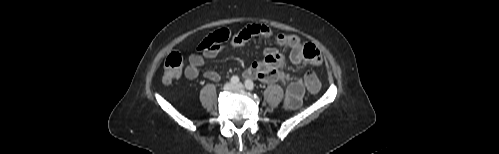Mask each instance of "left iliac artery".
Returning <instances> with one entry per match:
<instances>
[{
  "label": "left iliac artery",
  "mask_w": 499,
  "mask_h": 154,
  "mask_svg": "<svg viewBox=\"0 0 499 154\" xmlns=\"http://www.w3.org/2000/svg\"><path fill=\"white\" fill-rule=\"evenodd\" d=\"M245 87H246L248 90L252 91V90L254 89V83H253L251 80L247 79V80L245 81Z\"/></svg>",
  "instance_id": "1"
}]
</instances>
